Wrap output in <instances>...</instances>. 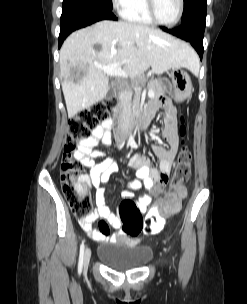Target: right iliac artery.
Returning <instances> with one entry per match:
<instances>
[{
	"label": "right iliac artery",
	"instance_id": "1",
	"mask_svg": "<svg viewBox=\"0 0 247 304\" xmlns=\"http://www.w3.org/2000/svg\"><path fill=\"white\" fill-rule=\"evenodd\" d=\"M83 257H84V242L80 245L79 261H78V272L81 273L83 268Z\"/></svg>",
	"mask_w": 247,
	"mask_h": 304
}]
</instances>
